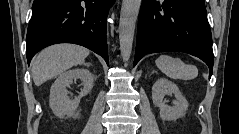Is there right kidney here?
I'll return each instance as SVG.
<instances>
[{
	"label": "right kidney",
	"mask_w": 239,
	"mask_h": 134,
	"mask_svg": "<svg viewBox=\"0 0 239 134\" xmlns=\"http://www.w3.org/2000/svg\"><path fill=\"white\" fill-rule=\"evenodd\" d=\"M76 79L82 81L83 89L77 98L70 99L66 87H69ZM93 83L94 76L88 69H72L62 73L50 89L49 105L53 113L59 117L72 116L78 107L80 98L91 91Z\"/></svg>",
	"instance_id": "ca27d5eb"
}]
</instances>
